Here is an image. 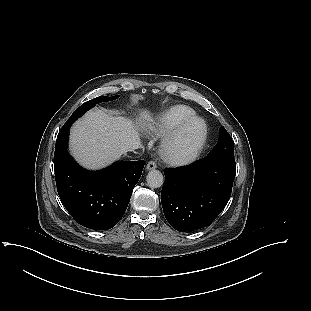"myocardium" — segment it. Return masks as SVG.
<instances>
[{"label": "myocardium", "instance_id": "1", "mask_svg": "<svg viewBox=\"0 0 311 311\" xmlns=\"http://www.w3.org/2000/svg\"><path fill=\"white\" fill-rule=\"evenodd\" d=\"M200 124L198 138L193 147L187 152L179 153L173 150V146L178 138L193 124ZM208 136V127L206 121L197 115L185 119L176 128L164 136L160 143L159 154L161 159L169 165L184 166L195 161L201 154Z\"/></svg>", "mask_w": 311, "mask_h": 311}]
</instances>
